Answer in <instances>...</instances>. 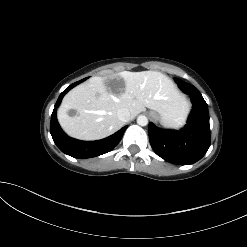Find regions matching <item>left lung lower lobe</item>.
I'll use <instances>...</instances> for the list:
<instances>
[{"label": "left lung lower lobe", "mask_w": 247, "mask_h": 247, "mask_svg": "<svg viewBox=\"0 0 247 247\" xmlns=\"http://www.w3.org/2000/svg\"><path fill=\"white\" fill-rule=\"evenodd\" d=\"M175 81L193 104L187 124L177 131L160 129L149 123V140L154 152L165 161L188 165L200 160L210 147L208 106L196 87L178 78Z\"/></svg>", "instance_id": "1"}]
</instances>
